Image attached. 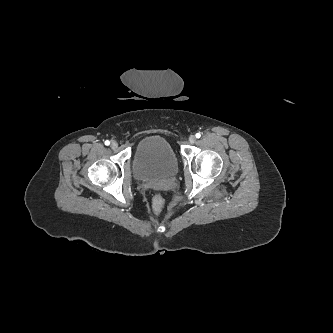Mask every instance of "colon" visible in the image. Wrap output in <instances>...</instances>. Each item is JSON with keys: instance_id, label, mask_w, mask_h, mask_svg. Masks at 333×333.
<instances>
[{"instance_id": "1", "label": "colon", "mask_w": 333, "mask_h": 333, "mask_svg": "<svg viewBox=\"0 0 333 333\" xmlns=\"http://www.w3.org/2000/svg\"><path fill=\"white\" fill-rule=\"evenodd\" d=\"M164 207V201L160 196H156L154 200V208L157 212H161Z\"/></svg>"}]
</instances>
